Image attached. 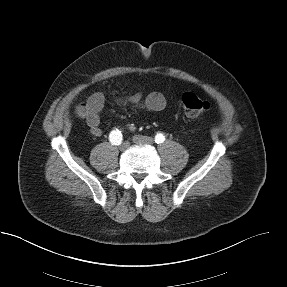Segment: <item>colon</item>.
I'll list each match as a JSON object with an SVG mask.
<instances>
[{
	"label": "colon",
	"mask_w": 287,
	"mask_h": 287,
	"mask_svg": "<svg viewBox=\"0 0 287 287\" xmlns=\"http://www.w3.org/2000/svg\"><path fill=\"white\" fill-rule=\"evenodd\" d=\"M179 106L184 114L190 118L202 116L210 110L209 102L191 92L182 95L179 100ZM77 111L79 115L84 116L86 113V106H79Z\"/></svg>",
	"instance_id": "5ec220e1"
}]
</instances>
